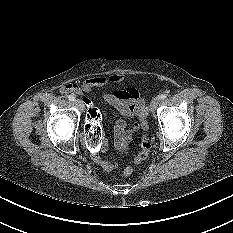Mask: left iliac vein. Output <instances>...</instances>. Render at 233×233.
Instances as JSON below:
<instances>
[{
	"label": "left iliac vein",
	"instance_id": "1",
	"mask_svg": "<svg viewBox=\"0 0 233 233\" xmlns=\"http://www.w3.org/2000/svg\"><path fill=\"white\" fill-rule=\"evenodd\" d=\"M160 97H155V98H153V100L151 101V103H150V111L151 112H154L155 110H156V108H157V106L159 105V103H160Z\"/></svg>",
	"mask_w": 233,
	"mask_h": 233
}]
</instances>
